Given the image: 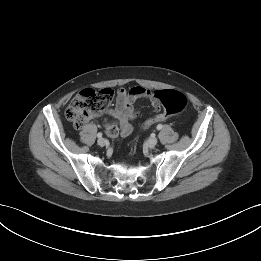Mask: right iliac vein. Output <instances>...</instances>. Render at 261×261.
I'll list each match as a JSON object with an SVG mask.
<instances>
[{"label":"right iliac vein","mask_w":261,"mask_h":261,"mask_svg":"<svg viewBox=\"0 0 261 261\" xmlns=\"http://www.w3.org/2000/svg\"><path fill=\"white\" fill-rule=\"evenodd\" d=\"M97 143H98L99 146L103 147V146H105L106 141H105L104 138H99Z\"/></svg>","instance_id":"obj_1"}]
</instances>
